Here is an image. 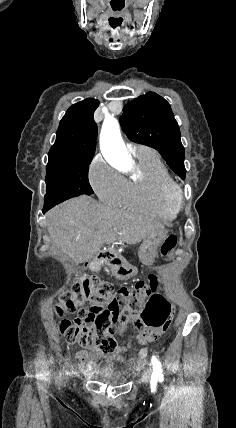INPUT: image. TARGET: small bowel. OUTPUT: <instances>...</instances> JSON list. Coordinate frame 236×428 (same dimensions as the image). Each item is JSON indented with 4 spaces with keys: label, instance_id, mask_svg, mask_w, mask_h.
Returning a JSON list of instances; mask_svg holds the SVG:
<instances>
[{
    "label": "small bowel",
    "instance_id": "c3829d8e",
    "mask_svg": "<svg viewBox=\"0 0 236 428\" xmlns=\"http://www.w3.org/2000/svg\"><path fill=\"white\" fill-rule=\"evenodd\" d=\"M126 325H120V331H124ZM162 331L159 330H139L132 337L133 342L137 344L145 345L148 342L156 339ZM146 348H135L133 359L144 360L146 356ZM79 360L81 369L89 375L95 374L98 370L102 369L106 365L112 362H124L127 360L126 356L122 351H119L110 356H104L101 352H86L79 351L76 355Z\"/></svg>",
    "mask_w": 236,
    "mask_h": 428
}]
</instances>
